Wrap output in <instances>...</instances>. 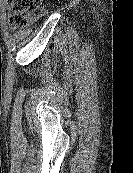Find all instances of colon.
Returning a JSON list of instances; mask_svg holds the SVG:
<instances>
[{
  "mask_svg": "<svg viewBox=\"0 0 133 173\" xmlns=\"http://www.w3.org/2000/svg\"><path fill=\"white\" fill-rule=\"evenodd\" d=\"M8 6L13 11L11 22L15 27L37 20L44 12L42 0H8Z\"/></svg>",
  "mask_w": 133,
  "mask_h": 173,
  "instance_id": "5ec220e1",
  "label": "colon"
}]
</instances>
